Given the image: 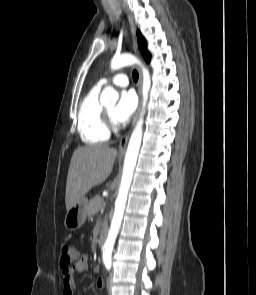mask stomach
<instances>
[{"label": "stomach", "instance_id": "0dacf381", "mask_svg": "<svg viewBox=\"0 0 256 295\" xmlns=\"http://www.w3.org/2000/svg\"><path fill=\"white\" fill-rule=\"evenodd\" d=\"M88 200L81 199L72 208L67 210L64 218V226L70 231L80 228L87 218Z\"/></svg>", "mask_w": 256, "mask_h": 295}]
</instances>
